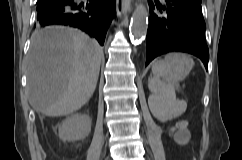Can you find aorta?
Returning <instances> with one entry per match:
<instances>
[{"label": "aorta", "instance_id": "762f6f07", "mask_svg": "<svg viewBox=\"0 0 242 160\" xmlns=\"http://www.w3.org/2000/svg\"><path fill=\"white\" fill-rule=\"evenodd\" d=\"M148 28V11L146 5L138 3L131 18L130 32L133 38L141 39Z\"/></svg>", "mask_w": 242, "mask_h": 160}]
</instances>
